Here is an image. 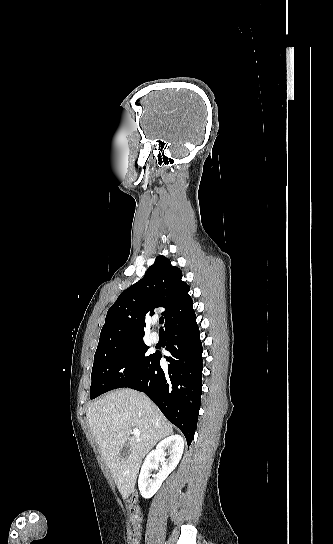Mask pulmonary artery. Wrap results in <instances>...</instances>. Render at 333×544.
Wrapping results in <instances>:
<instances>
[{
    "label": "pulmonary artery",
    "instance_id": "pulmonary-artery-1",
    "mask_svg": "<svg viewBox=\"0 0 333 544\" xmlns=\"http://www.w3.org/2000/svg\"><path fill=\"white\" fill-rule=\"evenodd\" d=\"M155 323H156V320L153 321V324H155ZM151 340H152V342H154V343H157V342L159 341V334H158V332L153 331V332L151 333Z\"/></svg>",
    "mask_w": 333,
    "mask_h": 544
}]
</instances>
